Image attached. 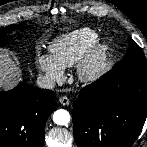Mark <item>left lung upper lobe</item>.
Wrapping results in <instances>:
<instances>
[{"label":"left lung upper lobe","instance_id":"left-lung-upper-lobe-1","mask_svg":"<svg viewBox=\"0 0 147 147\" xmlns=\"http://www.w3.org/2000/svg\"><path fill=\"white\" fill-rule=\"evenodd\" d=\"M129 49L126 55L116 63L118 67L134 66L147 69V60L142 49L131 39L128 38Z\"/></svg>","mask_w":147,"mask_h":147}]
</instances>
